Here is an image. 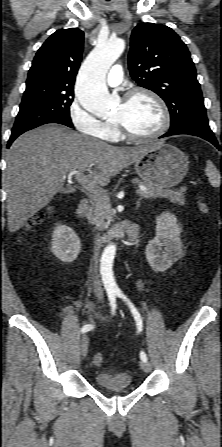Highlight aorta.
<instances>
[{
	"label": "aorta",
	"instance_id": "1",
	"mask_svg": "<svg viewBox=\"0 0 222 447\" xmlns=\"http://www.w3.org/2000/svg\"><path fill=\"white\" fill-rule=\"evenodd\" d=\"M124 49L125 41L122 38L99 42L83 62L78 75L76 98L86 111L97 116L110 113L115 101L108 92L105 76ZM115 252L116 246L108 245L103 252V259L111 264ZM105 278L108 282L114 281L111 269Z\"/></svg>",
	"mask_w": 222,
	"mask_h": 447
}]
</instances>
